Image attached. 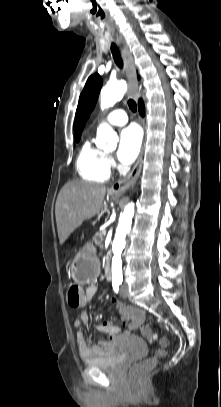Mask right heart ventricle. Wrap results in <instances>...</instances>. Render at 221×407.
Instances as JSON below:
<instances>
[{
  "mask_svg": "<svg viewBox=\"0 0 221 407\" xmlns=\"http://www.w3.org/2000/svg\"><path fill=\"white\" fill-rule=\"evenodd\" d=\"M76 168L82 179L91 182H105L110 175L107 155L87 140L81 147L76 160Z\"/></svg>",
  "mask_w": 221,
  "mask_h": 407,
  "instance_id": "1",
  "label": "right heart ventricle"
}]
</instances>
